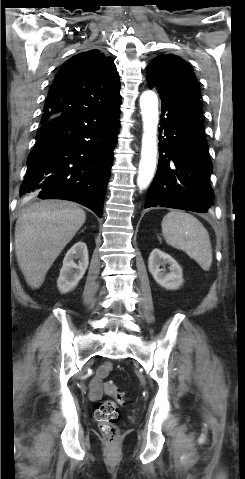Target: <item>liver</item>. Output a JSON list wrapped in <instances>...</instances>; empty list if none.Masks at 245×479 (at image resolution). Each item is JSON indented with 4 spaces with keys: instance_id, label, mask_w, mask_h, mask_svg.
Here are the masks:
<instances>
[{
    "instance_id": "6515ba94",
    "label": "liver",
    "mask_w": 245,
    "mask_h": 479,
    "mask_svg": "<svg viewBox=\"0 0 245 479\" xmlns=\"http://www.w3.org/2000/svg\"><path fill=\"white\" fill-rule=\"evenodd\" d=\"M86 220L77 204L45 200L22 209L15 226V253L28 285L39 288L46 273Z\"/></svg>"
}]
</instances>
